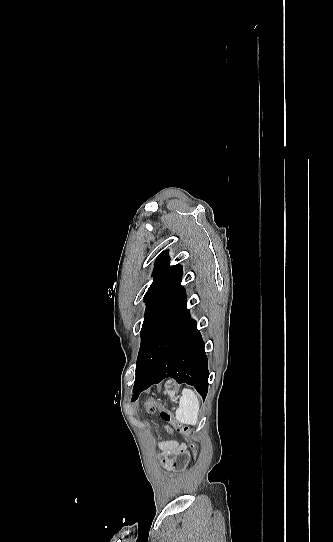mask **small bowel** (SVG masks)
<instances>
[{"label": "small bowel", "mask_w": 333, "mask_h": 542, "mask_svg": "<svg viewBox=\"0 0 333 542\" xmlns=\"http://www.w3.org/2000/svg\"><path fill=\"white\" fill-rule=\"evenodd\" d=\"M158 447L162 450L163 454L167 457V459L185 454L187 451V447L185 444L175 440L158 442Z\"/></svg>", "instance_id": "c3829d8e"}]
</instances>
